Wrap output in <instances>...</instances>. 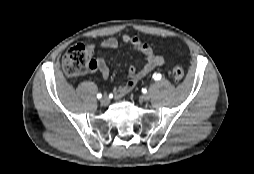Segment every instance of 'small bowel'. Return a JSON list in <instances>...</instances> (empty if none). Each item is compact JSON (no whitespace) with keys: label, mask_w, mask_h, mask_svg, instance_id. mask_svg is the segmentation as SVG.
<instances>
[{"label":"small bowel","mask_w":254,"mask_h":174,"mask_svg":"<svg viewBox=\"0 0 254 174\" xmlns=\"http://www.w3.org/2000/svg\"><path fill=\"white\" fill-rule=\"evenodd\" d=\"M121 41L124 44L130 45L135 50L142 53L145 57L144 64L139 70L133 65L128 68L129 77L125 84L117 86L113 90V94L116 98H121L131 92L135 86L143 79L148 73H150L155 67L164 63V59L155 54L150 45L143 42L137 37L123 35ZM119 42L115 38H109L102 41L99 45L90 44L87 46V53L89 57H94L95 51L99 49H115ZM89 71L98 72L104 79L110 76V70L103 58L96 57L91 60V68Z\"/></svg>","instance_id":"small-bowel-1"}]
</instances>
